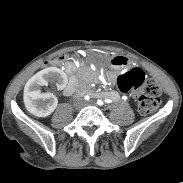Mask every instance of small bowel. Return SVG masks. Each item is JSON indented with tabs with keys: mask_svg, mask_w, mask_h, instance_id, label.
Segmentation results:
<instances>
[{
	"mask_svg": "<svg viewBox=\"0 0 183 183\" xmlns=\"http://www.w3.org/2000/svg\"><path fill=\"white\" fill-rule=\"evenodd\" d=\"M96 95L97 96H102V97H108V98H110V97H112L114 95V93L113 92H101V93H98Z\"/></svg>",
	"mask_w": 183,
	"mask_h": 183,
	"instance_id": "obj_1",
	"label": "small bowel"
}]
</instances>
